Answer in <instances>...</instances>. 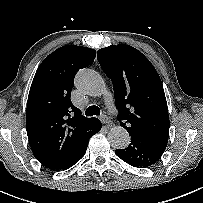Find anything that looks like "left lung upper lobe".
Listing matches in <instances>:
<instances>
[{"label": "left lung upper lobe", "mask_w": 203, "mask_h": 203, "mask_svg": "<svg viewBox=\"0 0 203 203\" xmlns=\"http://www.w3.org/2000/svg\"><path fill=\"white\" fill-rule=\"evenodd\" d=\"M111 79L118 120L130 135L167 146L169 114L161 79L151 62L132 46L119 44L97 52Z\"/></svg>", "instance_id": "left-lung-upper-lobe-1"}]
</instances>
